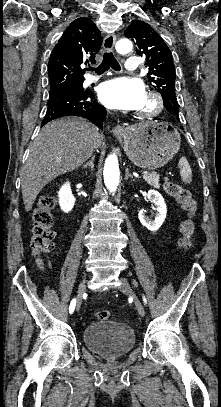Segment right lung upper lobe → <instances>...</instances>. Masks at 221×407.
Wrapping results in <instances>:
<instances>
[{"instance_id": "right-lung-upper-lobe-1", "label": "right lung upper lobe", "mask_w": 221, "mask_h": 407, "mask_svg": "<svg viewBox=\"0 0 221 407\" xmlns=\"http://www.w3.org/2000/svg\"><path fill=\"white\" fill-rule=\"evenodd\" d=\"M100 31L88 18L74 20L63 33L53 49L48 76L51 86L71 85L84 81L82 65L95 61L102 37Z\"/></svg>"}]
</instances>
